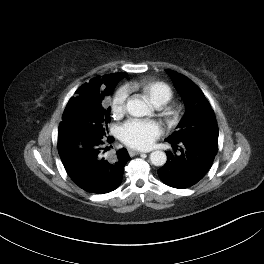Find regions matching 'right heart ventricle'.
Returning <instances> with one entry per match:
<instances>
[{"mask_svg": "<svg viewBox=\"0 0 264 264\" xmlns=\"http://www.w3.org/2000/svg\"><path fill=\"white\" fill-rule=\"evenodd\" d=\"M129 88L139 90L155 106H163L173 97L171 87L162 81L144 79L129 84Z\"/></svg>", "mask_w": 264, "mask_h": 264, "instance_id": "right-heart-ventricle-1", "label": "right heart ventricle"}]
</instances>
